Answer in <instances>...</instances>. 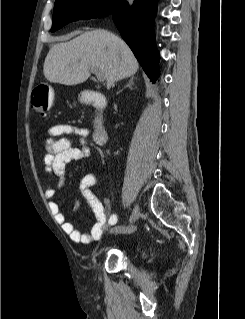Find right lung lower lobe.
<instances>
[{
  "instance_id": "98d812e1",
  "label": "right lung lower lobe",
  "mask_w": 245,
  "mask_h": 319,
  "mask_svg": "<svg viewBox=\"0 0 245 319\" xmlns=\"http://www.w3.org/2000/svg\"><path fill=\"white\" fill-rule=\"evenodd\" d=\"M158 0H118L113 9V20L124 41L129 45L148 77L155 82L159 77V54L153 31Z\"/></svg>"
}]
</instances>
